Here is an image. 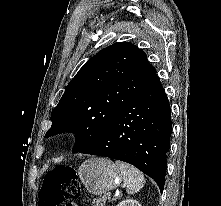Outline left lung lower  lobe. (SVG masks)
Masks as SVG:
<instances>
[{"instance_id": "obj_1", "label": "left lung lower lobe", "mask_w": 221, "mask_h": 206, "mask_svg": "<svg viewBox=\"0 0 221 206\" xmlns=\"http://www.w3.org/2000/svg\"><path fill=\"white\" fill-rule=\"evenodd\" d=\"M171 132L169 101L157 79L79 152L130 163L153 178L162 192Z\"/></svg>"}]
</instances>
